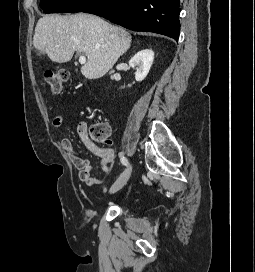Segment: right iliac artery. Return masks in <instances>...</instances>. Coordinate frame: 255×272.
Masks as SVG:
<instances>
[{
  "label": "right iliac artery",
  "mask_w": 255,
  "mask_h": 272,
  "mask_svg": "<svg viewBox=\"0 0 255 272\" xmlns=\"http://www.w3.org/2000/svg\"><path fill=\"white\" fill-rule=\"evenodd\" d=\"M120 161H121V163H122L123 165L129 166V161H128V159H127L126 157L121 156Z\"/></svg>",
  "instance_id": "obj_1"
}]
</instances>
